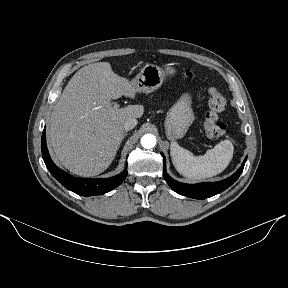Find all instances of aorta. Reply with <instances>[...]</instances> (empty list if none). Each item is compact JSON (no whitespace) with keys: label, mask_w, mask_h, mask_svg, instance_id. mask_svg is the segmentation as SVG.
Returning <instances> with one entry per match:
<instances>
[{"label":"aorta","mask_w":288,"mask_h":288,"mask_svg":"<svg viewBox=\"0 0 288 288\" xmlns=\"http://www.w3.org/2000/svg\"><path fill=\"white\" fill-rule=\"evenodd\" d=\"M141 145L146 149H151L156 145V137L152 134H145L141 138Z\"/></svg>","instance_id":"aorta-1"}]
</instances>
